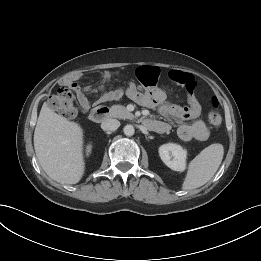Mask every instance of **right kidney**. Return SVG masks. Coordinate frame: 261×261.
I'll return each instance as SVG.
<instances>
[{"mask_svg":"<svg viewBox=\"0 0 261 261\" xmlns=\"http://www.w3.org/2000/svg\"><path fill=\"white\" fill-rule=\"evenodd\" d=\"M91 151V146L87 147V152L89 153Z\"/></svg>","mask_w":261,"mask_h":261,"instance_id":"1","label":"right kidney"}]
</instances>
